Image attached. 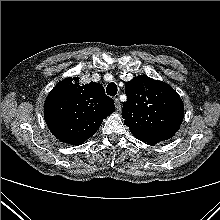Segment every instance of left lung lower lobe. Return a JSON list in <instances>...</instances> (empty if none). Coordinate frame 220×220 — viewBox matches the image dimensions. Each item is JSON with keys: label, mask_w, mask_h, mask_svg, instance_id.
Instances as JSON below:
<instances>
[{"label": "left lung lower lobe", "mask_w": 220, "mask_h": 220, "mask_svg": "<svg viewBox=\"0 0 220 220\" xmlns=\"http://www.w3.org/2000/svg\"><path fill=\"white\" fill-rule=\"evenodd\" d=\"M139 140H141V141H143L144 143H147V144H149V145H154V144L158 143L157 141H152V140H142V139H139Z\"/></svg>", "instance_id": "left-lung-lower-lobe-1"}]
</instances>
